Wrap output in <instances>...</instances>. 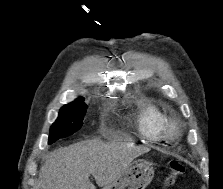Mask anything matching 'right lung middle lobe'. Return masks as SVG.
Wrapping results in <instances>:
<instances>
[{"instance_id":"1","label":"right lung middle lobe","mask_w":223,"mask_h":189,"mask_svg":"<svg viewBox=\"0 0 223 189\" xmlns=\"http://www.w3.org/2000/svg\"><path fill=\"white\" fill-rule=\"evenodd\" d=\"M86 104L84 99L79 98L64 105L59 112L57 120L50 128L49 142L52 144L60 138L67 137L78 131L83 125L84 115L86 113Z\"/></svg>"}]
</instances>
